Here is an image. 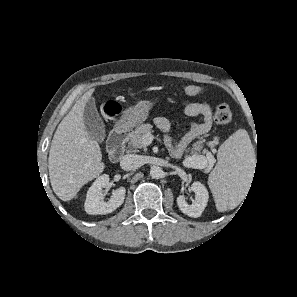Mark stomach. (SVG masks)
<instances>
[{
	"label": "stomach",
	"mask_w": 297,
	"mask_h": 297,
	"mask_svg": "<svg viewBox=\"0 0 297 297\" xmlns=\"http://www.w3.org/2000/svg\"><path fill=\"white\" fill-rule=\"evenodd\" d=\"M152 105L151 101L142 100L135 106L128 108L117 122V127L119 129H128L139 125L148 118Z\"/></svg>",
	"instance_id": "stomach-1"
}]
</instances>
